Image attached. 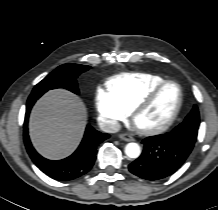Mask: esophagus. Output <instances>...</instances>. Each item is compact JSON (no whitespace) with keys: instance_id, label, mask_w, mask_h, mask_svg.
I'll return each instance as SVG.
<instances>
[{"instance_id":"1","label":"esophagus","mask_w":218,"mask_h":210,"mask_svg":"<svg viewBox=\"0 0 218 210\" xmlns=\"http://www.w3.org/2000/svg\"><path fill=\"white\" fill-rule=\"evenodd\" d=\"M119 138L123 141H126V142H130V141L134 140L132 136H130L129 134H126V133L120 134Z\"/></svg>"}]
</instances>
